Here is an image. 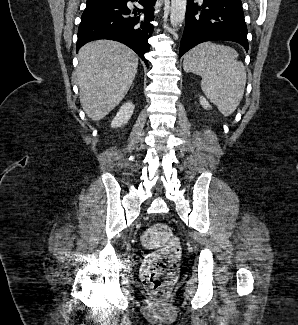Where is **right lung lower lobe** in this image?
<instances>
[{
	"mask_svg": "<svg viewBox=\"0 0 298 325\" xmlns=\"http://www.w3.org/2000/svg\"><path fill=\"white\" fill-rule=\"evenodd\" d=\"M135 0H110L106 2L86 4L78 29L77 51L87 42L97 39L119 41L144 60V54L150 50L148 39L153 32L151 21L154 20L153 6L156 0H136L144 8H136L132 16L127 2Z\"/></svg>",
	"mask_w": 298,
	"mask_h": 325,
	"instance_id": "1",
	"label": "right lung lower lobe"
}]
</instances>
